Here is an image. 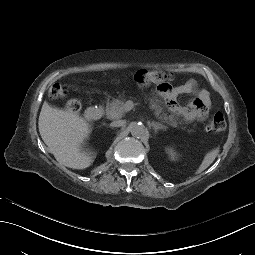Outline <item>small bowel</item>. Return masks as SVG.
I'll return each instance as SVG.
<instances>
[{
  "instance_id": "1",
  "label": "small bowel",
  "mask_w": 255,
  "mask_h": 255,
  "mask_svg": "<svg viewBox=\"0 0 255 255\" xmlns=\"http://www.w3.org/2000/svg\"><path fill=\"white\" fill-rule=\"evenodd\" d=\"M197 83L194 79H189L184 84L169 90H161L163 93H167L171 98L173 96H177L179 94H189L194 92ZM211 105L210 94L207 90L202 89L197 93V96L187 105L180 106L174 100L170 99L169 106L170 109L176 113L181 115L188 121L193 120H203L209 111Z\"/></svg>"
}]
</instances>
